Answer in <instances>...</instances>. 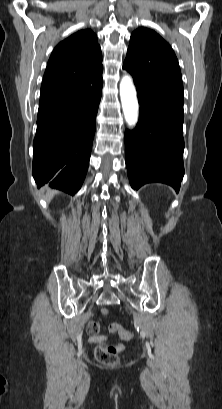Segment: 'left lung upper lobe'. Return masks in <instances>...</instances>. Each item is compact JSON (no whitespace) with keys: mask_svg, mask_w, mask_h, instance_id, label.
Listing matches in <instances>:
<instances>
[{"mask_svg":"<svg viewBox=\"0 0 222 409\" xmlns=\"http://www.w3.org/2000/svg\"><path fill=\"white\" fill-rule=\"evenodd\" d=\"M123 69L130 72L135 85L183 102L178 60L171 46L155 31L141 27L132 33Z\"/></svg>","mask_w":222,"mask_h":409,"instance_id":"5c2ea615","label":"left lung upper lobe"}]
</instances>
